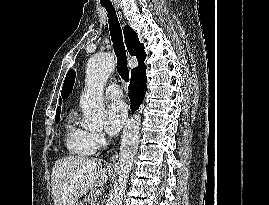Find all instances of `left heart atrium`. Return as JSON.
<instances>
[{"label":"left heart atrium","mask_w":269,"mask_h":205,"mask_svg":"<svg viewBox=\"0 0 269 205\" xmlns=\"http://www.w3.org/2000/svg\"><path fill=\"white\" fill-rule=\"evenodd\" d=\"M128 116V107L122 101L111 103L107 109L106 131L114 136L122 129Z\"/></svg>","instance_id":"left-heart-atrium-1"}]
</instances>
